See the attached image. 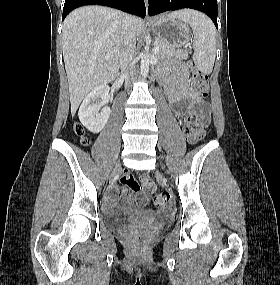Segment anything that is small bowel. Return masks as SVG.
I'll use <instances>...</instances> for the list:
<instances>
[{"label": "small bowel", "mask_w": 280, "mask_h": 285, "mask_svg": "<svg viewBox=\"0 0 280 285\" xmlns=\"http://www.w3.org/2000/svg\"><path fill=\"white\" fill-rule=\"evenodd\" d=\"M162 83L168 100L171 104L175 105V114L177 117L184 116L194 104L199 103L201 104L200 115L202 119L208 121L210 116L209 106L202 101L191 88L187 72L184 67L177 66L170 73L164 74L162 76ZM114 190L115 189L112 191ZM125 202L127 204H145L147 202V198L145 196H133L126 198ZM107 203L112 204V200L109 198Z\"/></svg>", "instance_id": "1"}]
</instances>
